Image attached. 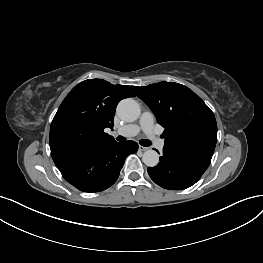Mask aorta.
I'll list each match as a JSON object with an SVG mask.
<instances>
[{
	"label": "aorta",
	"mask_w": 263,
	"mask_h": 263,
	"mask_svg": "<svg viewBox=\"0 0 263 263\" xmlns=\"http://www.w3.org/2000/svg\"><path fill=\"white\" fill-rule=\"evenodd\" d=\"M117 114L123 120L133 122L139 118V104L132 98L123 99L117 106ZM142 160L148 167H154L159 162V154L155 150H147L144 152Z\"/></svg>",
	"instance_id": "obj_1"
}]
</instances>
